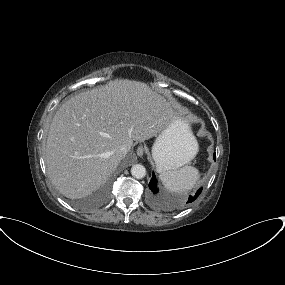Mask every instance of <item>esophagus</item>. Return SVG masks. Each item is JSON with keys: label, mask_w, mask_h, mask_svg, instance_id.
<instances>
[{"label": "esophagus", "mask_w": 285, "mask_h": 285, "mask_svg": "<svg viewBox=\"0 0 285 285\" xmlns=\"http://www.w3.org/2000/svg\"><path fill=\"white\" fill-rule=\"evenodd\" d=\"M144 152H145V149H144V147H143L142 145L139 146V147L137 148V150H136V153H137V155H138L139 157H142L143 154H144Z\"/></svg>", "instance_id": "obj_1"}]
</instances>
